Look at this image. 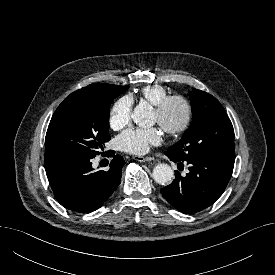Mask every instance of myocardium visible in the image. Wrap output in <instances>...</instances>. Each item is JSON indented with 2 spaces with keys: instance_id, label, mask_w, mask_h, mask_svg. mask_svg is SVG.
Masks as SVG:
<instances>
[{
  "instance_id": "myocardium-1",
  "label": "myocardium",
  "mask_w": 275,
  "mask_h": 275,
  "mask_svg": "<svg viewBox=\"0 0 275 275\" xmlns=\"http://www.w3.org/2000/svg\"><path fill=\"white\" fill-rule=\"evenodd\" d=\"M175 104L181 105L183 109V118L177 125H173L167 121L168 113ZM155 112L158 115L157 123L171 136H178L185 133L190 128L194 117V109L191 101L182 94L167 96L155 106Z\"/></svg>"
}]
</instances>
